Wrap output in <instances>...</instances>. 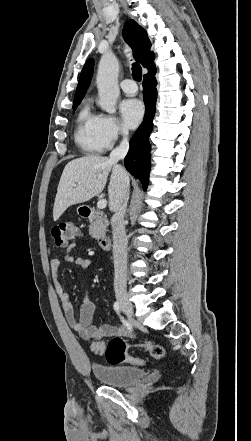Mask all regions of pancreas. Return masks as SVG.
<instances>
[{"label":"pancreas","instance_id":"cf45deb5","mask_svg":"<svg viewBox=\"0 0 251 441\" xmlns=\"http://www.w3.org/2000/svg\"><path fill=\"white\" fill-rule=\"evenodd\" d=\"M109 225L108 220L100 211H95L90 219L89 234L92 238L99 239Z\"/></svg>","mask_w":251,"mask_h":441}]
</instances>
